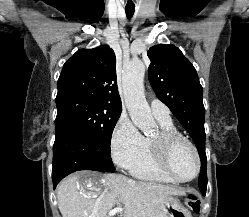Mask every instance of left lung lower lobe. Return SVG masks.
I'll return each mask as SVG.
<instances>
[{"instance_id":"0a47b994","label":"left lung lower lobe","mask_w":249,"mask_h":217,"mask_svg":"<svg viewBox=\"0 0 249 217\" xmlns=\"http://www.w3.org/2000/svg\"><path fill=\"white\" fill-rule=\"evenodd\" d=\"M198 183H199L200 190H201L202 194L205 195L206 188H207L206 168H201V172H200V177H199Z\"/></svg>"}]
</instances>
